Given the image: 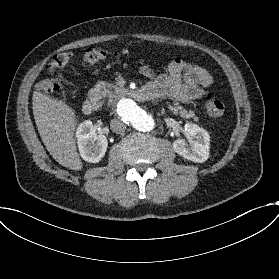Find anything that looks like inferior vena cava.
<instances>
[{
  "mask_svg": "<svg viewBox=\"0 0 279 279\" xmlns=\"http://www.w3.org/2000/svg\"><path fill=\"white\" fill-rule=\"evenodd\" d=\"M110 126L114 132H122L127 127L125 122L121 119H111Z\"/></svg>",
  "mask_w": 279,
  "mask_h": 279,
  "instance_id": "obj_1",
  "label": "inferior vena cava"
}]
</instances>
